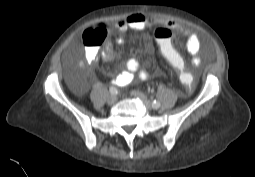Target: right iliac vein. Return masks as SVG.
Listing matches in <instances>:
<instances>
[{"label":"right iliac vein","mask_w":255,"mask_h":177,"mask_svg":"<svg viewBox=\"0 0 255 177\" xmlns=\"http://www.w3.org/2000/svg\"><path fill=\"white\" fill-rule=\"evenodd\" d=\"M116 101H117V96L116 95H111L107 99L108 105H113V104L116 103Z\"/></svg>","instance_id":"right-iliac-vein-1"}]
</instances>
